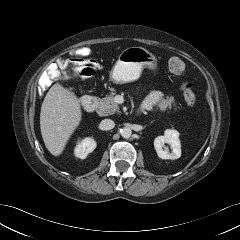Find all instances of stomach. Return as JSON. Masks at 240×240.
Returning <instances> with one entry per match:
<instances>
[{
	"label": "stomach",
	"mask_w": 240,
	"mask_h": 240,
	"mask_svg": "<svg viewBox=\"0 0 240 240\" xmlns=\"http://www.w3.org/2000/svg\"><path fill=\"white\" fill-rule=\"evenodd\" d=\"M145 68L157 71V58L145 48L128 47L119 55L110 78L116 84L132 82L139 79Z\"/></svg>",
	"instance_id": "0dacf381"
}]
</instances>
